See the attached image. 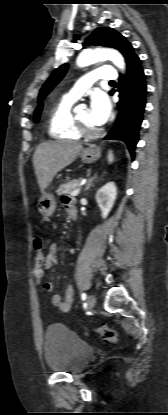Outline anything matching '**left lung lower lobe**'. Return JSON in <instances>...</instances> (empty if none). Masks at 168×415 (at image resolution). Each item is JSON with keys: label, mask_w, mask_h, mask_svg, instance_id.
<instances>
[{"label": "left lung lower lobe", "mask_w": 168, "mask_h": 415, "mask_svg": "<svg viewBox=\"0 0 168 415\" xmlns=\"http://www.w3.org/2000/svg\"><path fill=\"white\" fill-rule=\"evenodd\" d=\"M141 60L134 56L127 64L126 76L120 77L119 89L121 111L114 127L104 139L120 140L126 143L131 157L138 142L139 129L146 104V80ZM115 90H111L113 95Z\"/></svg>", "instance_id": "obj_1"}]
</instances>
